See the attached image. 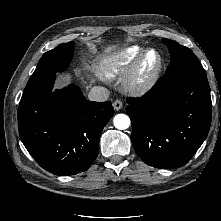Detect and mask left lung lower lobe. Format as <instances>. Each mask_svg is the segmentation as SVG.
Returning <instances> with one entry per match:
<instances>
[{"label":"left lung lower lobe","instance_id":"obj_1","mask_svg":"<svg viewBox=\"0 0 221 221\" xmlns=\"http://www.w3.org/2000/svg\"><path fill=\"white\" fill-rule=\"evenodd\" d=\"M127 102L133 147L150 166L169 169L185 165L208 135L212 103L199 62L166 73L144 96Z\"/></svg>","mask_w":221,"mask_h":221}]
</instances>
